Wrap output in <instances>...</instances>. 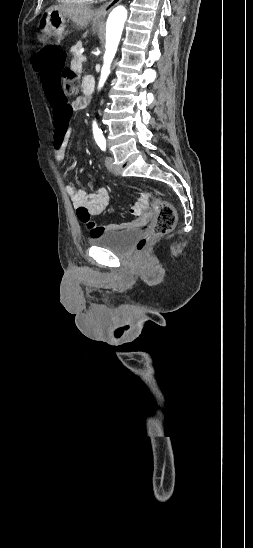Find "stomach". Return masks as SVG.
<instances>
[{
    "instance_id": "1",
    "label": "stomach",
    "mask_w": 253,
    "mask_h": 548,
    "mask_svg": "<svg viewBox=\"0 0 253 548\" xmlns=\"http://www.w3.org/2000/svg\"><path fill=\"white\" fill-rule=\"evenodd\" d=\"M99 20H96L98 23ZM38 39L41 43H48L52 39L62 40L66 34V17L58 11L48 9L41 19Z\"/></svg>"
}]
</instances>
